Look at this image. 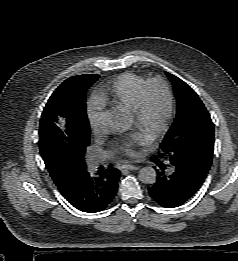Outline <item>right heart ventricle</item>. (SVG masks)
I'll list each match as a JSON object with an SVG mask.
<instances>
[{
    "instance_id": "1",
    "label": "right heart ventricle",
    "mask_w": 238,
    "mask_h": 261,
    "mask_svg": "<svg viewBox=\"0 0 238 261\" xmlns=\"http://www.w3.org/2000/svg\"><path fill=\"white\" fill-rule=\"evenodd\" d=\"M147 78L136 73L120 75L97 96L100 105H111L114 108L131 112L135 106L138 92Z\"/></svg>"
}]
</instances>
